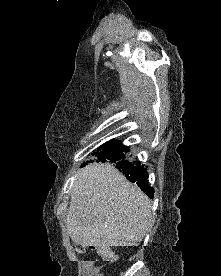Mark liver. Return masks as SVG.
I'll return each instance as SVG.
<instances>
[{
    "mask_svg": "<svg viewBox=\"0 0 221 276\" xmlns=\"http://www.w3.org/2000/svg\"><path fill=\"white\" fill-rule=\"evenodd\" d=\"M152 217L150 199L110 164H93L75 177L67 228L78 245L137 246Z\"/></svg>",
    "mask_w": 221,
    "mask_h": 276,
    "instance_id": "6515ba94",
    "label": "liver"
}]
</instances>
